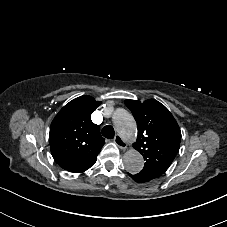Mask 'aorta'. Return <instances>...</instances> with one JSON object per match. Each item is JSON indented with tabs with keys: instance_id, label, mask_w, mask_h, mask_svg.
<instances>
[{
	"instance_id": "1",
	"label": "aorta",
	"mask_w": 227,
	"mask_h": 227,
	"mask_svg": "<svg viewBox=\"0 0 227 227\" xmlns=\"http://www.w3.org/2000/svg\"><path fill=\"white\" fill-rule=\"evenodd\" d=\"M113 123L119 134L128 140L134 139L137 128L133 116L125 109H117L113 115ZM126 170L131 174L139 173L144 167V158L136 149H130L123 158Z\"/></svg>"
}]
</instances>
